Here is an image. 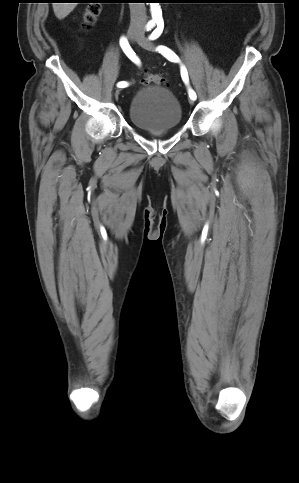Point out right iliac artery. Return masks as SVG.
I'll return each mask as SVG.
<instances>
[{"instance_id":"82829eb1","label":"right iliac artery","mask_w":299,"mask_h":483,"mask_svg":"<svg viewBox=\"0 0 299 483\" xmlns=\"http://www.w3.org/2000/svg\"><path fill=\"white\" fill-rule=\"evenodd\" d=\"M154 26V23H151L148 25L147 27V30H150L151 28H153ZM120 45H121V48L122 50L124 51V53L126 54V56L131 60L133 61L134 63L136 64H140V61L138 59V57L136 56L135 52L132 50V48L130 47L128 41L126 38L122 37L121 40H120ZM129 84L125 81H121L117 84V86L119 88H125L127 87Z\"/></svg>"}]
</instances>
